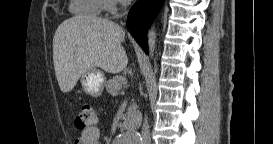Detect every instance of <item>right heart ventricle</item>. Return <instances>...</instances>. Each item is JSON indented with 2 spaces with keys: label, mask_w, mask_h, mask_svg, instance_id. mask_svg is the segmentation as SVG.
I'll return each mask as SVG.
<instances>
[{
  "label": "right heart ventricle",
  "mask_w": 273,
  "mask_h": 144,
  "mask_svg": "<svg viewBox=\"0 0 273 144\" xmlns=\"http://www.w3.org/2000/svg\"><path fill=\"white\" fill-rule=\"evenodd\" d=\"M103 7L102 0H73L70 3V10L81 16H96Z\"/></svg>",
  "instance_id": "right-heart-ventricle-1"
}]
</instances>
